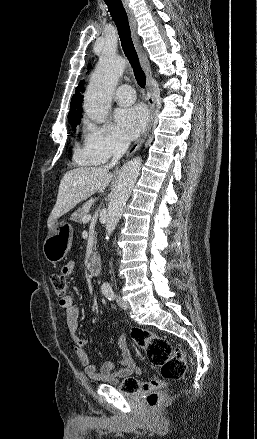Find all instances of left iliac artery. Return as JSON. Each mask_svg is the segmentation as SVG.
Here are the masks:
<instances>
[{"label":"left iliac artery","mask_w":257,"mask_h":439,"mask_svg":"<svg viewBox=\"0 0 257 439\" xmlns=\"http://www.w3.org/2000/svg\"><path fill=\"white\" fill-rule=\"evenodd\" d=\"M103 294L109 299V300H113L114 299V292L113 289L111 287V285L109 283H104L101 287Z\"/></svg>","instance_id":"left-iliac-artery-1"}]
</instances>
